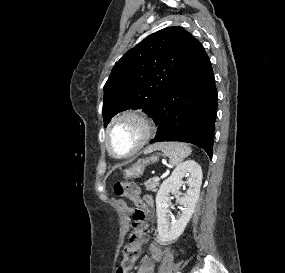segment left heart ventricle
<instances>
[{
    "instance_id": "obj_1",
    "label": "left heart ventricle",
    "mask_w": 285,
    "mask_h": 273,
    "mask_svg": "<svg viewBox=\"0 0 285 273\" xmlns=\"http://www.w3.org/2000/svg\"><path fill=\"white\" fill-rule=\"evenodd\" d=\"M141 127L133 119L122 120L117 123L109 137L112 150L119 155L128 153L139 141Z\"/></svg>"
}]
</instances>
